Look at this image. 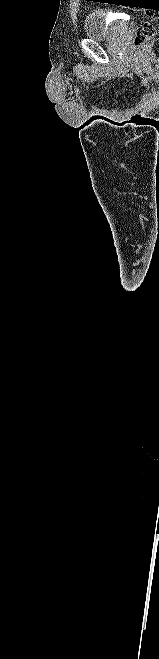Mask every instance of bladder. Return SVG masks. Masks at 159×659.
Masks as SVG:
<instances>
[{
  "mask_svg": "<svg viewBox=\"0 0 159 659\" xmlns=\"http://www.w3.org/2000/svg\"><path fill=\"white\" fill-rule=\"evenodd\" d=\"M113 22H108L103 10H91L84 18L83 29L87 39H109L116 35Z\"/></svg>",
  "mask_w": 159,
  "mask_h": 659,
  "instance_id": "obj_1",
  "label": "bladder"
}]
</instances>
